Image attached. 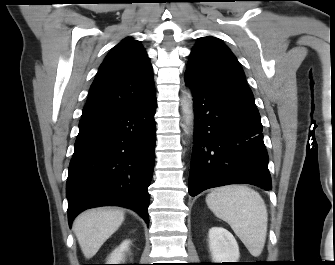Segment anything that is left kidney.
<instances>
[{"mask_svg":"<svg viewBox=\"0 0 335 265\" xmlns=\"http://www.w3.org/2000/svg\"><path fill=\"white\" fill-rule=\"evenodd\" d=\"M209 249L214 263L237 262L240 253L234 236L225 228L212 227L208 233Z\"/></svg>","mask_w":335,"mask_h":265,"instance_id":"obj_1","label":"left kidney"}]
</instances>
